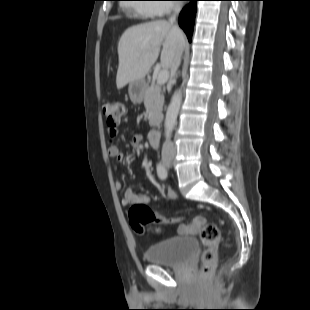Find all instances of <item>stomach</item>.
I'll return each mask as SVG.
<instances>
[{
  "label": "stomach",
  "instance_id": "obj_1",
  "mask_svg": "<svg viewBox=\"0 0 310 310\" xmlns=\"http://www.w3.org/2000/svg\"><path fill=\"white\" fill-rule=\"evenodd\" d=\"M145 91V83L143 80H136L129 83L128 93L130 99L135 103H141Z\"/></svg>",
  "mask_w": 310,
  "mask_h": 310
}]
</instances>
